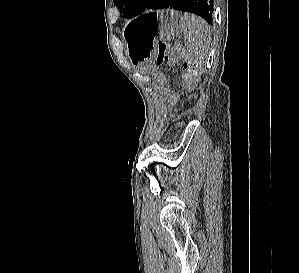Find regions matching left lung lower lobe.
<instances>
[{
  "mask_svg": "<svg viewBox=\"0 0 299 273\" xmlns=\"http://www.w3.org/2000/svg\"><path fill=\"white\" fill-rule=\"evenodd\" d=\"M173 8L180 11L195 13L212 23V0H149L146 9Z\"/></svg>",
  "mask_w": 299,
  "mask_h": 273,
  "instance_id": "left-lung-lower-lobe-1",
  "label": "left lung lower lobe"
}]
</instances>
